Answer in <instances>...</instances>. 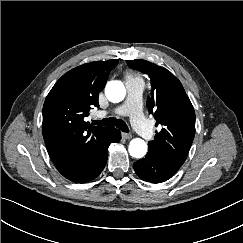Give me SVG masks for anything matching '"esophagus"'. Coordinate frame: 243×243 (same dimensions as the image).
<instances>
[{
  "label": "esophagus",
  "instance_id": "esophagus-1",
  "mask_svg": "<svg viewBox=\"0 0 243 243\" xmlns=\"http://www.w3.org/2000/svg\"><path fill=\"white\" fill-rule=\"evenodd\" d=\"M122 137H123L124 139L129 140V139L132 138V135H131L130 133H122Z\"/></svg>",
  "mask_w": 243,
  "mask_h": 243
}]
</instances>
